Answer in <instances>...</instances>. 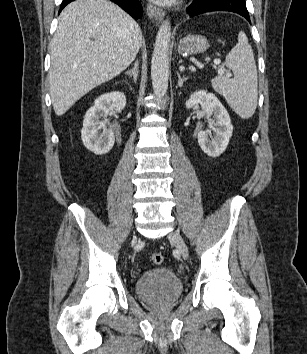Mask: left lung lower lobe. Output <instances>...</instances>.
<instances>
[{
    "label": "left lung lower lobe",
    "mask_w": 307,
    "mask_h": 354,
    "mask_svg": "<svg viewBox=\"0 0 307 354\" xmlns=\"http://www.w3.org/2000/svg\"><path fill=\"white\" fill-rule=\"evenodd\" d=\"M211 11H230L237 13L250 22L245 0H193L187 8L190 17Z\"/></svg>",
    "instance_id": "0a47b994"
}]
</instances>
